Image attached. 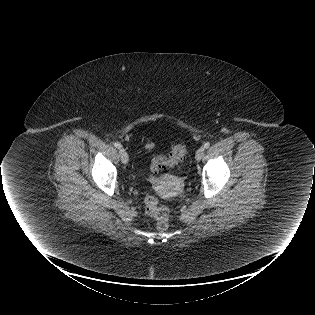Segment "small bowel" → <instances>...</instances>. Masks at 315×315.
Wrapping results in <instances>:
<instances>
[{
  "label": "small bowel",
  "instance_id": "obj_1",
  "mask_svg": "<svg viewBox=\"0 0 315 315\" xmlns=\"http://www.w3.org/2000/svg\"><path fill=\"white\" fill-rule=\"evenodd\" d=\"M156 147V144L154 143V142H152V141H148L146 144H145V148L147 149V150H151V149H153V148H155Z\"/></svg>",
  "mask_w": 315,
  "mask_h": 315
}]
</instances>
